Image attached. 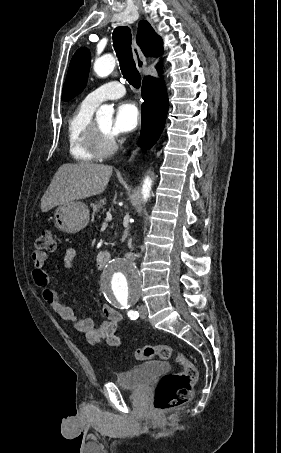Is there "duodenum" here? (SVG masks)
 Segmentation results:
<instances>
[{
    "label": "duodenum",
    "mask_w": 281,
    "mask_h": 453,
    "mask_svg": "<svg viewBox=\"0 0 281 453\" xmlns=\"http://www.w3.org/2000/svg\"><path fill=\"white\" fill-rule=\"evenodd\" d=\"M110 260V253L107 250H101L96 256V264L103 268Z\"/></svg>",
    "instance_id": "obj_1"
}]
</instances>
